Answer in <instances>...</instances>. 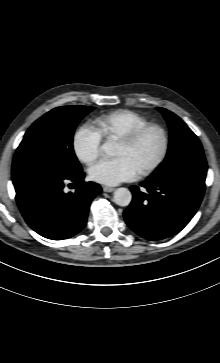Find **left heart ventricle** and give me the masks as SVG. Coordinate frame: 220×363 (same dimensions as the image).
I'll list each match as a JSON object with an SVG mask.
<instances>
[{"mask_svg": "<svg viewBox=\"0 0 220 363\" xmlns=\"http://www.w3.org/2000/svg\"><path fill=\"white\" fill-rule=\"evenodd\" d=\"M162 138L158 131L147 132L136 144L132 146L115 145V155L127 158L138 170L150 165L158 156Z\"/></svg>", "mask_w": 220, "mask_h": 363, "instance_id": "1", "label": "left heart ventricle"}]
</instances>
